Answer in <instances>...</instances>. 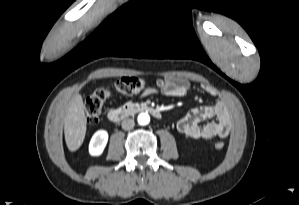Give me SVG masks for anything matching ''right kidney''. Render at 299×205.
I'll return each mask as SVG.
<instances>
[{
	"label": "right kidney",
	"instance_id": "ca27d5eb",
	"mask_svg": "<svg viewBox=\"0 0 299 205\" xmlns=\"http://www.w3.org/2000/svg\"><path fill=\"white\" fill-rule=\"evenodd\" d=\"M108 133L105 130H98L91 138L89 143V154L91 156H100L107 144Z\"/></svg>",
	"mask_w": 299,
	"mask_h": 205
}]
</instances>
